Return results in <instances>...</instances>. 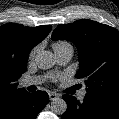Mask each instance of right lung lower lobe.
Returning <instances> with one entry per match:
<instances>
[{
    "label": "right lung lower lobe",
    "mask_w": 119,
    "mask_h": 119,
    "mask_svg": "<svg viewBox=\"0 0 119 119\" xmlns=\"http://www.w3.org/2000/svg\"><path fill=\"white\" fill-rule=\"evenodd\" d=\"M48 102L49 96L44 91H37L35 94L27 92L0 119H36Z\"/></svg>",
    "instance_id": "1"
}]
</instances>
